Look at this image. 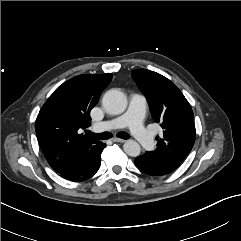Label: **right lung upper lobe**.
<instances>
[{"instance_id": "cb5924a9", "label": "right lung upper lobe", "mask_w": 241, "mask_h": 241, "mask_svg": "<svg viewBox=\"0 0 241 241\" xmlns=\"http://www.w3.org/2000/svg\"><path fill=\"white\" fill-rule=\"evenodd\" d=\"M111 79L109 73L76 76L60 85L41 108L35 124L36 135L56 172L101 144L79 132L89 127V113Z\"/></svg>"}]
</instances>
